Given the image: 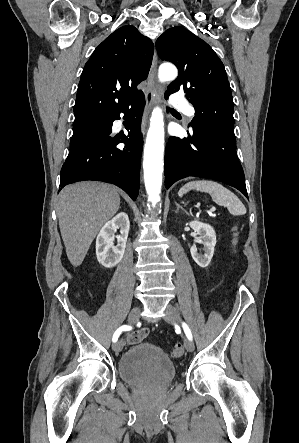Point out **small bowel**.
<instances>
[{
    "label": "small bowel",
    "mask_w": 299,
    "mask_h": 443,
    "mask_svg": "<svg viewBox=\"0 0 299 443\" xmlns=\"http://www.w3.org/2000/svg\"><path fill=\"white\" fill-rule=\"evenodd\" d=\"M149 337V330L147 328H143L135 333H131L127 336V343L129 345L138 344Z\"/></svg>",
    "instance_id": "1"
}]
</instances>
